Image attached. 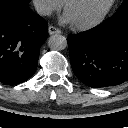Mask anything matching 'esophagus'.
Wrapping results in <instances>:
<instances>
[{
  "instance_id": "obj_1",
  "label": "esophagus",
  "mask_w": 128,
  "mask_h": 128,
  "mask_svg": "<svg viewBox=\"0 0 128 128\" xmlns=\"http://www.w3.org/2000/svg\"><path fill=\"white\" fill-rule=\"evenodd\" d=\"M48 31H49L50 35L61 34L62 33V31L60 29H58L57 27L52 26V25L49 26Z\"/></svg>"
}]
</instances>
